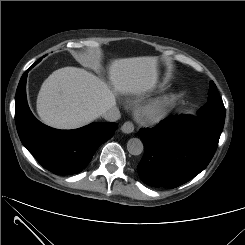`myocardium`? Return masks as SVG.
I'll return each instance as SVG.
<instances>
[{
  "instance_id": "obj_1",
  "label": "myocardium",
  "mask_w": 245,
  "mask_h": 245,
  "mask_svg": "<svg viewBox=\"0 0 245 245\" xmlns=\"http://www.w3.org/2000/svg\"><path fill=\"white\" fill-rule=\"evenodd\" d=\"M174 99L166 98L160 102L149 105L145 111V117L150 121H158L163 118L173 107Z\"/></svg>"
}]
</instances>
